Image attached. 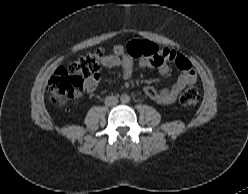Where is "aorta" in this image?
Wrapping results in <instances>:
<instances>
[{
	"label": "aorta",
	"mask_w": 248,
	"mask_h": 194,
	"mask_svg": "<svg viewBox=\"0 0 248 194\" xmlns=\"http://www.w3.org/2000/svg\"><path fill=\"white\" fill-rule=\"evenodd\" d=\"M120 100L123 104L129 103L130 101V96L127 94H122L120 97Z\"/></svg>",
	"instance_id": "obj_1"
}]
</instances>
